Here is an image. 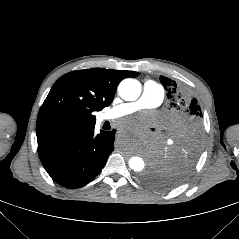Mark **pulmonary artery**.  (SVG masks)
Instances as JSON below:
<instances>
[{"label": "pulmonary artery", "mask_w": 239, "mask_h": 239, "mask_svg": "<svg viewBox=\"0 0 239 239\" xmlns=\"http://www.w3.org/2000/svg\"><path fill=\"white\" fill-rule=\"evenodd\" d=\"M163 99V87L153 80H148L143 84V92L139 99L111 108L104 114L103 119L114 120L142 109L156 108L163 102Z\"/></svg>", "instance_id": "1"}]
</instances>
